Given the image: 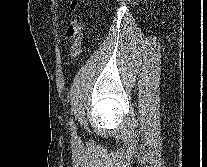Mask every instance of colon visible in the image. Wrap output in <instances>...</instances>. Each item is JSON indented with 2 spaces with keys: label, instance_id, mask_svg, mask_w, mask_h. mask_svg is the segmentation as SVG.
<instances>
[{
  "label": "colon",
  "instance_id": "colon-1",
  "mask_svg": "<svg viewBox=\"0 0 207 167\" xmlns=\"http://www.w3.org/2000/svg\"><path fill=\"white\" fill-rule=\"evenodd\" d=\"M79 0H71V9L76 10ZM67 38L70 41L69 57L76 59L81 53L82 23L74 20L70 23L66 31Z\"/></svg>",
  "mask_w": 207,
  "mask_h": 167
}]
</instances>
